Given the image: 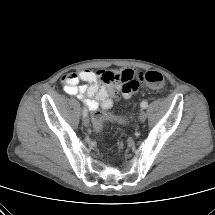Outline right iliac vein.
Wrapping results in <instances>:
<instances>
[{
  "label": "right iliac vein",
  "instance_id": "1",
  "mask_svg": "<svg viewBox=\"0 0 215 215\" xmlns=\"http://www.w3.org/2000/svg\"><path fill=\"white\" fill-rule=\"evenodd\" d=\"M82 122H83L84 126H88L89 125V118H88V116H83Z\"/></svg>",
  "mask_w": 215,
  "mask_h": 215
}]
</instances>
